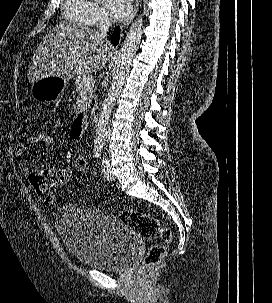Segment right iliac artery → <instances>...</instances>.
<instances>
[{
    "label": "right iliac artery",
    "mask_w": 272,
    "mask_h": 303,
    "mask_svg": "<svg viewBox=\"0 0 272 303\" xmlns=\"http://www.w3.org/2000/svg\"><path fill=\"white\" fill-rule=\"evenodd\" d=\"M101 149H102V145H101V144H96V145L94 146V156H95L96 158H99V157H100Z\"/></svg>",
    "instance_id": "right-iliac-artery-1"
}]
</instances>
